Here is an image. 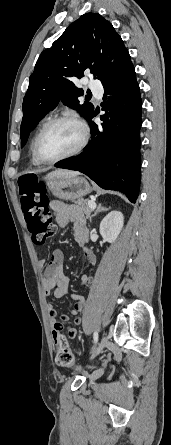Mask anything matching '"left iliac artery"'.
Masks as SVG:
<instances>
[{"label":"left iliac artery","mask_w":171,"mask_h":445,"mask_svg":"<svg viewBox=\"0 0 171 445\" xmlns=\"http://www.w3.org/2000/svg\"><path fill=\"white\" fill-rule=\"evenodd\" d=\"M93 339H94V343L96 345L98 342V332L97 331L94 332Z\"/></svg>","instance_id":"obj_1"}]
</instances>
